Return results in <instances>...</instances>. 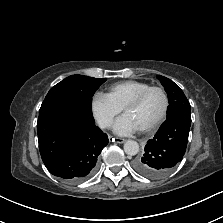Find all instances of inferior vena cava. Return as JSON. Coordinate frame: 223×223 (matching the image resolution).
<instances>
[{
  "label": "inferior vena cava",
  "mask_w": 223,
  "mask_h": 223,
  "mask_svg": "<svg viewBox=\"0 0 223 223\" xmlns=\"http://www.w3.org/2000/svg\"><path fill=\"white\" fill-rule=\"evenodd\" d=\"M99 127L100 128H108L111 126V122L107 119H102L98 121Z\"/></svg>",
  "instance_id": "602c4592"
}]
</instances>
